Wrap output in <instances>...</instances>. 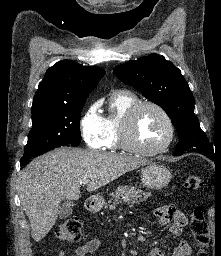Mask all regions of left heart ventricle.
Wrapping results in <instances>:
<instances>
[{
  "mask_svg": "<svg viewBox=\"0 0 221 256\" xmlns=\"http://www.w3.org/2000/svg\"><path fill=\"white\" fill-rule=\"evenodd\" d=\"M135 137L146 148H155L167 137V125L163 116L154 108L140 111L135 122Z\"/></svg>",
  "mask_w": 221,
  "mask_h": 256,
  "instance_id": "1",
  "label": "left heart ventricle"
}]
</instances>
